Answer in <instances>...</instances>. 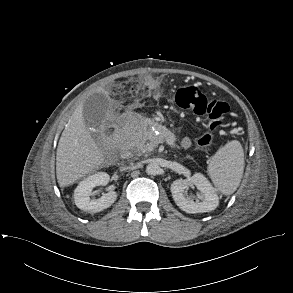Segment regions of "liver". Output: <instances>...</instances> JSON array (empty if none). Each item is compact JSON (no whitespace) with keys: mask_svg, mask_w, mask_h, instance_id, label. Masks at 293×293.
Wrapping results in <instances>:
<instances>
[{"mask_svg":"<svg viewBox=\"0 0 293 293\" xmlns=\"http://www.w3.org/2000/svg\"><path fill=\"white\" fill-rule=\"evenodd\" d=\"M104 161L96 142L85 127L79 106L62 132L56 153V176L60 187L74 184Z\"/></svg>","mask_w":293,"mask_h":293,"instance_id":"obj_1","label":"liver"}]
</instances>
